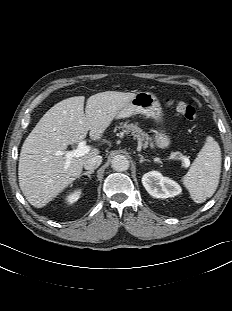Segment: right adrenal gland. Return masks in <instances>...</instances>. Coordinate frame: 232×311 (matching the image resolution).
I'll use <instances>...</instances> for the list:
<instances>
[{"mask_svg": "<svg viewBox=\"0 0 232 311\" xmlns=\"http://www.w3.org/2000/svg\"><path fill=\"white\" fill-rule=\"evenodd\" d=\"M93 173H94V170L86 171V172L82 173V174L79 176V178H80L81 176H88L89 178H91V174H93Z\"/></svg>", "mask_w": 232, "mask_h": 311, "instance_id": "obj_1", "label": "right adrenal gland"}]
</instances>
